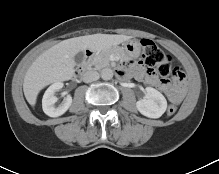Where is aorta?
Wrapping results in <instances>:
<instances>
[{
    "label": "aorta",
    "mask_w": 219,
    "mask_h": 174,
    "mask_svg": "<svg viewBox=\"0 0 219 174\" xmlns=\"http://www.w3.org/2000/svg\"><path fill=\"white\" fill-rule=\"evenodd\" d=\"M113 77V71L110 68H105L101 71V78L103 80H110Z\"/></svg>",
    "instance_id": "762f6f07"
}]
</instances>
